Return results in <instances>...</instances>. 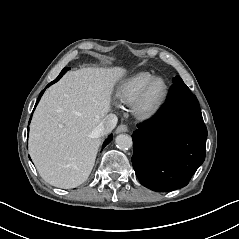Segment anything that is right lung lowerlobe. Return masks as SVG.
<instances>
[{
  "mask_svg": "<svg viewBox=\"0 0 239 239\" xmlns=\"http://www.w3.org/2000/svg\"><path fill=\"white\" fill-rule=\"evenodd\" d=\"M69 69H70L69 67H65V68L61 71V73L59 74V76L57 77V79L54 80L53 82H51L50 84H48L47 87H49L51 84L57 82ZM47 87H46V88H47ZM44 91H45V89L40 93V95H39V97H38V100H37V102H36V105H37V103L39 102V100H40L42 94L44 93ZM36 105H35V107H36ZM34 109H35V108H34ZM111 140H112V135H109L108 138L105 140V142H104V144H103V148H104L107 144H109V143L111 142Z\"/></svg>",
  "mask_w": 239,
  "mask_h": 239,
  "instance_id": "obj_1",
  "label": "right lung lower lobe"
}]
</instances>
